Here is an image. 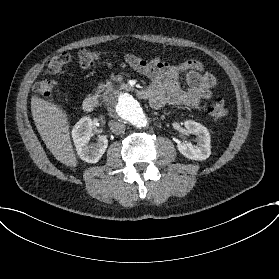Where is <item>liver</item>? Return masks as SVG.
Instances as JSON below:
<instances>
[{"mask_svg": "<svg viewBox=\"0 0 279 279\" xmlns=\"http://www.w3.org/2000/svg\"><path fill=\"white\" fill-rule=\"evenodd\" d=\"M31 112L46 147L66 166L76 167L77 159L70 139L68 118L57 105L33 96Z\"/></svg>", "mask_w": 279, "mask_h": 279, "instance_id": "1", "label": "liver"}]
</instances>
